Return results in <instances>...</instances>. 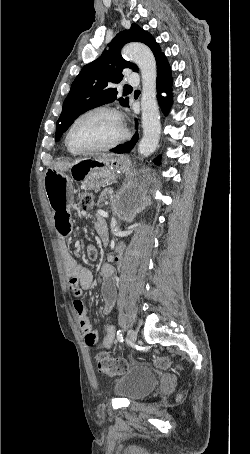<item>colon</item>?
<instances>
[{
    "instance_id": "1",
    "label": "colon",
    "mask_w": 250,
    "mask_h": 454,
    "mask_svg": "<svg viewBox=\"0 0 250 454\" xmlns=\"http://www.w3.org/2000/svg\"><path fill=\"white\" fill-rule=\"evenodd\" d=\"M95 202V196L92 192L84 190L81 193L80 208L83 210L90 209ZM155 363L160 368H169L170 361L166 358H157ZM98 371L105 376H114L128 368V363L121 357H108L104 354H99L96 357Z\"/></svg>"
}]
</instances>
